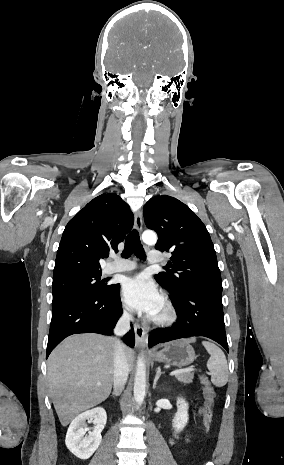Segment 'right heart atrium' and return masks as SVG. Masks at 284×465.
<instances>
[{
  "label": "right heart atrium",
  "instance_id": "d8ad5b80",
  "mask_svg": "<svg viewBox=\"0 0 284 465\" xmlns=\"http://www.w3.org/2000/svg\"><path fill=\"white\" fill-rule=\"evenodd\" d=\"M120 316L125 321H128L131 319V313L126 308L120 309Z\"/></svg>",
  "mask_w": 284,
  "mask_h": 465
}]
</instances>
